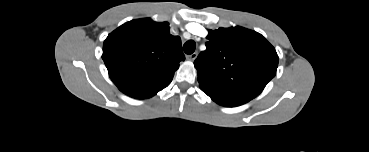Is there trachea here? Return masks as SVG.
<instances>
[{"label": "trachea", "mask_w": 369, "mask_h": 152, "mask_svg": "<svg viewBox=\"0 0 369 152\" xmlns=\"http://www.w3.org/2000/svg\"><path fill=\"white\" fill-rule=\"evenodd\" d=\"M196 43L193 40L187 41L184 46L183 50L186 54H192L195 51Z\"/></svg>", "instance_id": "trachea-1"}]
</instances>
